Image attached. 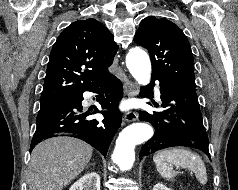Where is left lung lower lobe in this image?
<instances>
[{"mask_svg": "<svg viewBox=\"0 0 238 190\" xmlns=\"http://www.w3.org/2000/svg\"><path fill=\"white\" fill-rule=\"evenodd\" d=\"M159 80L161 93L160 111L139 112L140 121L151 123L155 128L153 137L141 149L143 155L174 147L187 146L204 151L210 158L208 136L203 126L195 88ZM145 96V93H142ZM150 104V103H149ZM151 105V104H150Z\"/></svg>", "mask_w": 238, "mask_h": 190, "instance_id": "0a47b994", "label": "left lung lower lobe"}]
</instances>
